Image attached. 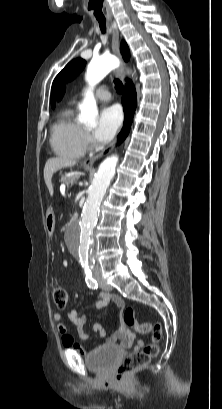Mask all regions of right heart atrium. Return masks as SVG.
<instances>
[{
    "mask_svg": "<svg viewBox=\"0 0 222 409\" xmlns=\"http://www.w3.org/2000/svg\"><path fill=\"white\" fill-rule=\"evenodd\" d=\"M84 142H85V145L88 147L92 145L91 138L87 133L84 134Z\"/></svg>",
    "mask_w": 222,
    "mask_h": 409,
    "instance_id": "obj_1",
    "label": "right heart atrium"
}]
</instances>
